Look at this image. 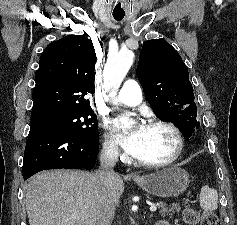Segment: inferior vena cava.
Masks as SVG:
<instances>
[{"mask_svg":"<svg viewBox=\"0 0 237 225\" xmlns=\"http://www.w3.org/2000/svg\"><path fill=\"white\" fill-rule=\"evenodd\" d=\"M118 147L113 143H104L100 154L99 169L94 173L96 187L94 190L96 199L97 225H111L115 216V200L112 193V185L118 175L114 166L118 160Z\"/></svg>","mask_w":237,"mask_h":225,"instance_id":"1","label":"inferior vena cava"}]
</instances>
